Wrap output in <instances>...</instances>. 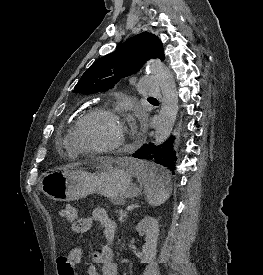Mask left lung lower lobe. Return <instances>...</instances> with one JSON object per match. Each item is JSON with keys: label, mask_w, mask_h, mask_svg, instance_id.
<instances>
[{"label": "left lung lower lobe", "mask_w": 263, "mask_h": 275, "mask_svg": "<svg viewBox=\"0 0 263 275\" xmlns=\"http://www.w3.org/2000/svg\"><path fill=\"white\" fill-rule=\"evenodd\" d=\"M174 139L175 137L172 136L167 142L158 146L153 143L144 144L132 156L138 159H147L157 164L158 168L150 167L149 174L157 179H167L169 172L175 170Z\"/></svg>", "instance_id": "1"}]
</instances>
